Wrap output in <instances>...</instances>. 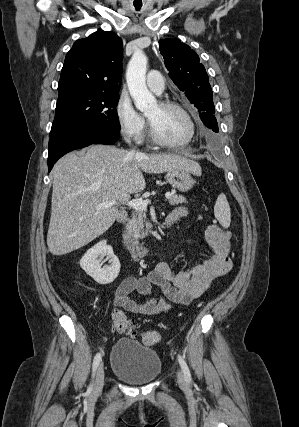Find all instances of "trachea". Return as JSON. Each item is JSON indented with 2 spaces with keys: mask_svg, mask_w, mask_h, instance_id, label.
Instances as JSON below:
<instances>
[{
  "mask_svg": "<svg viewBox=\"0 0 299 427\" xmlns=\"http://www.w3.org/2000/svg\"><path fill=\"white\" fill-rule=\"evenodd\" d=\"M134 7L137 11H139L142 7V4H134Z\"/></svg>",
  "mask_w": 299,
  "mask_h": 427,
  "instance_id": "obj_1",
  "label": "trachea"
}]
</instances>
